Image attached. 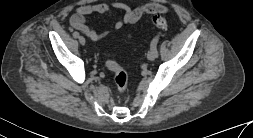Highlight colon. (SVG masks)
Masks as SVG:
<instances>
[{
    "instance_id": "colon-1",
    "label": "colon",
    "mask_w": 253,
    "mask_h": 138,
    "mask_svg": "<svg viewBox=\"0 0 253 138\" xmlns=\"http://www.w3.org/2000/svg\"><path fill=\"white\" fill-rule=\"evenodd\" d=\"M151 24L153 27L161 31H168L170 29L168 21L159 14L151 17ZM105 64L106 67L114 74V82L118 91L124 92L126 90L128 81L126 71L112 57H108Z\"/></svg>"
}]
</instances>
